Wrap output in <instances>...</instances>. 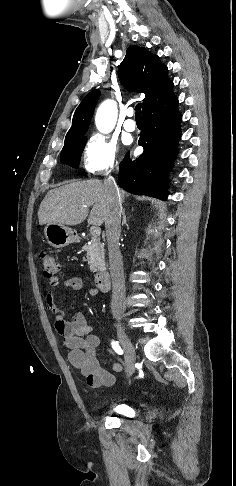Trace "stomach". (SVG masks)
<instances>
[{"label": "stomach", "instance_id": "0dacf381", "mask_svg": "<svg viewBox=\"0 0 236 486\" xmlns=\"http://www.w3.org/2000/svg\"><path fill=\"white\" fill-rule=\"evenodd\" d=\"M44 233L48 243L54 248H63L77 241L73 229L61 224L48 223Z\"/></svg>", "mask_w": 236, "mask_h": 486}]
</instances>
